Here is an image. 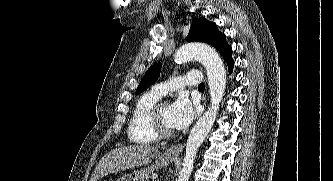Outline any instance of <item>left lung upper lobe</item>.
Segmentation results:
<instances>
[{"label": "left lung upper lobe", "instance_id": "obj_1", "mask_svg": "<svg viewBox=\"0 0 333 181\" xmlns=\"http://www.w3.org/2000/svg\"><path fill=\"white\" fill-rule=\"evenodd\" d=\"M188 42H205L215 47L222 56L231 48L226 43V37L221 33L215 23L209 22L204 17L192 21L189 34L186 39ZM161 63L154 64L147 70L142 78L136 95L146 90L160 76Z\"/></svg>", "mask_w": 333, "mask_h": 181}]
</instances>
